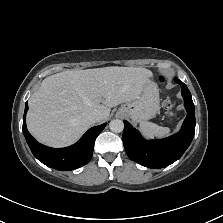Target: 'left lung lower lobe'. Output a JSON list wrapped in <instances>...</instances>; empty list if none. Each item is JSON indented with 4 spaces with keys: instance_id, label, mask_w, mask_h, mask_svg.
<instances>
[{
    "instance_id": "obj_1",
    "label": "left lung lower lobe",
    "mask_w": 223,
    "mask_h": 223,
    "mask_svg": "<svg viewBox=\"0 0 223 223\" xmlns=\"http://www.w3.org/2000/svg\"><path fill=\"white\" fill-rule=\"evenodd\" d=\"M180 84L187 116L181 130L165 139L144 140L140 133L124 121L123 144L129 158L149 168H163L178 160L189 147L195 133V106L186 84Z\"/></svg>"
}]
</instances>
